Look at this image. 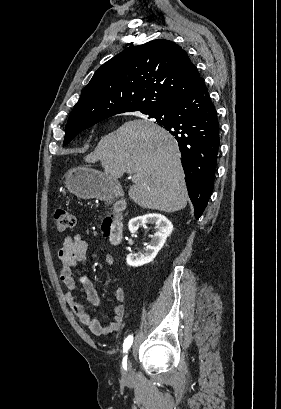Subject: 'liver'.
I'll return each instance as SVG.
<instances>
[{
    "mask_svg": "<svg viewBox=\"0 0 281 409\" xmlns=\"http://www.w3.org/2000/svg\"><path fill=\"white\" fill-rule=\"evenodd\" d=\"M85 162L100 160L105 174L121 178L130 172L129 198L143 209L165 213L187 205V186L176 140L152 120H128L101 138Z\"/></svg>",
    "mask_w": 281,
    "mask_h": 409,
    "instance_id": "6515ba94",
    "label": "liver"
}]
</instances>
